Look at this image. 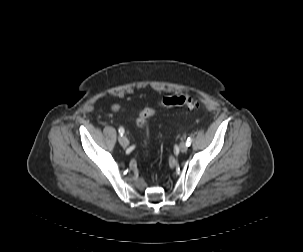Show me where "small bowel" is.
<instances>
[{
	"label": "small bowel",
	"instance_id": "small-bowel-1",
	"mask_svg": "<svg viewBox=\"0 0 303 252\" xmlns=\"http://www.w3.org/2000/svg\"><path fill=\"white\" fill-rule=\"evenodd\" d=\"M112 110L113 111H120L121 110V107L119 105H113L112 106Z\"/></svg>",
	"mask_w": 303,
	"mask_h": 252
}]
</instances>
